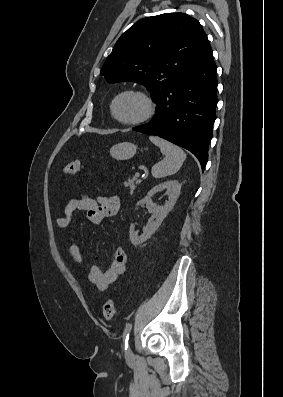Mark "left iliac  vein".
I'll use <instances>...</instances> for the list:
<instances>
[{
    "label": "left iliac vein",
    "mask_w": 283,
    "mask_h": 397,
    "mask_svg": "<svg viewBox=\"0 0 283 397\" xmlns=\"http://www.w3.org/2000/svg\"><path fill=\"white\" fill-rule=\"evenodd\" d=\"M132 356H133V353H132L131 349L129 348L128 350H126V357L132 358Z\"/></svg>",
    "instance_id": "obj_1"
}]
</instances>
